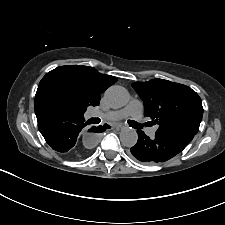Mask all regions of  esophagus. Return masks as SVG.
<instances>
[{
  "instance_id": "obj_1",
  "label": "esophagus",
  "mask_w": 225,
  "mask_h": 225,
  "mask_svg": "<svg viewBox=\"0 0 225 225\" xmlns=\"http://www.w3.org/2000/svg\"><path fill=\"white\" fill-rule=\"evenodd\" d=\"M112 127H113L114 129L119 130V129H121L123 126H122L121 124H115V125H113Z\"/></svg>"
}]
</instances>
